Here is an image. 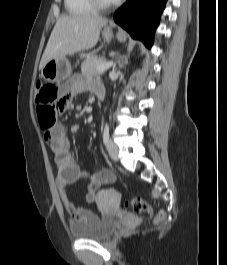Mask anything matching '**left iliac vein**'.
<instances>
[{
	"label": "left iliac vein",
	"instance_id": "obj_1",
	"mask_svg": "<svg viewBox=\"0 0 227 265\" xmlns=\"http://www.w3.org/2000/svg\"><path fill=\"white\" fill-rule=\"evenodd\" d=\"M107 151L109 156L114 160L117 161L118 160V147L117 145L112 142L111 140L108 141L107 143Z\"/></svg>",
	"mask_w": 227,
	"mask_h": 265
}]
</instances>
